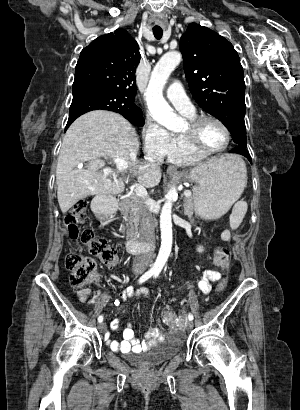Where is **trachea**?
<instances>
[{"instance_id": "trachea-1", "label": "trachea", "mask_w": 300, "mask_h": 410, "mask_svg": "<svg viewBox=\"0 0 300 410\" xmlns=\"http://www.w3.org/2000/svg\"><path fill=\"white\" fill-rule=\"evenodd\" d=\"M153 34L156 39H161L163 35V30L161 28L153 29Z\"/></svg>"}]
</instances>
